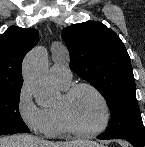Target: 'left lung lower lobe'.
<instances>
[{
    "label": "left lung lower lobe",
    "instance_id": "0a47b994",
    "mask_svg": "<svg viewBox=\"0 0 145 147\" xmlns=\"http://www.w3.org/2000/svg\"><path fill=\"white\" fill-rule=\"evenodd\" d=\"M98 139H115V138H112V137H107V136H103V135H100L97 137ZM123 139H126L129 143L132 144L133 147H144V144H145V141H137V140H133V139H129V138H123Z\"/></svg>",
    "mask_w": 145,
    "mask_h": 147
}]
</instances>
